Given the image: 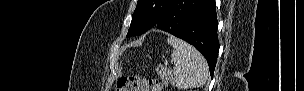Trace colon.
Instances as JSON below:
<instances>
[{
    "mask_svg": "<svg viewBox=\"0 0 304 91\" xmlns=\"http://www.w3.org/2000/svg\"><path fill=\"white\" fill-rule=\"evenodd\" d=\"M157 79H147L139 76H129L119 79L117 91H161Z\"/></svg>",
    "mask_w": 304,
    "mask_h": 91,
    "instance_id": "obj_1",
    "label": "colon"
}]
</instances>
